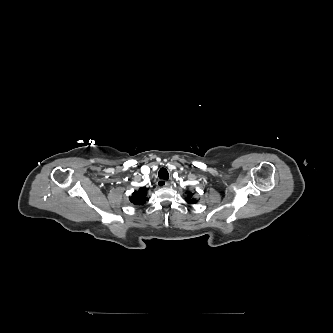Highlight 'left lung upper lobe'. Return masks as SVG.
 Segmentation results:
<instances>
[{
  "mask_svg": "<svg viewBox=\"0 0 333 333\" xmlns=\"http://www.w3.org/2000/svg\"><path fill=\"white\" fill-rule=\"evenodd\" d=\"M192 193L191 192H187V198H186V201L188 202V203H194L195 202V200L194 199H192Z\"/></svg>",
  "mask_w": 333,
  "mask_h": 333,
  "instance_id": "left-lung-upper-lobe-1",
  "label": "left lung upper lobe"
}]
</instances>
